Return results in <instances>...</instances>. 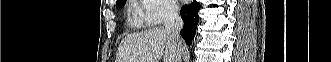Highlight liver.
Returning <instances> with one entry per match:
<instances>
[{"instance_id":"1","label":"liver","mask_w":331,"mask_h":62,"mask_svg":"<svg viewBox=\"0 0 331 62\" xmlns=\"http://www.w3.org/2000/svg\"><path fill=\"white\" fill-rule=\"evenodd\" d=\"M177 62L176 46L164 27L127 35L119 44L115 62Z\"/></svg>"}]
</instances>
